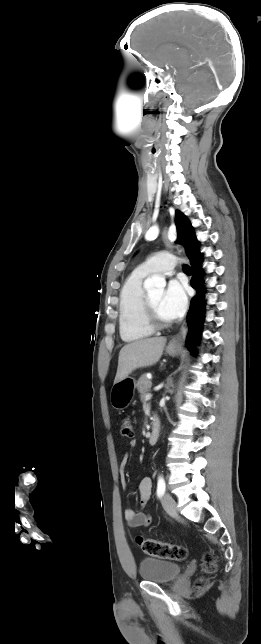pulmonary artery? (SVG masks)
<instances>
[{"mask_svg":"<svg viewBox=\"0 0 261 644\" xmlns=\"http://www.w3.org/2000/svg\"><path fill=\"white\" fill-rule=\"evenodd\" d=\"M179 260L180 258L173 254L161 252L142 263L138 269L146 274L155 272L168 273L178 265Z\"/></svg>","mask_w":261,"mask_h":644,"instance_id":"1","label":"pulmonary artery"}]
</instances>
